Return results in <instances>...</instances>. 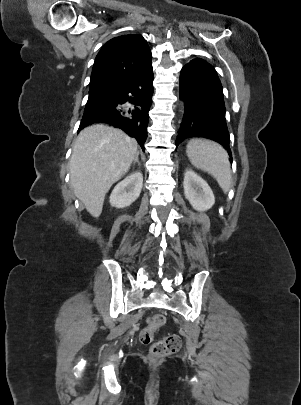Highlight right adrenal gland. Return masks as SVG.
Returning a JSON list of instances; mask_svg holds the SVG:
<instances>
[{"label":"right adrenal gland","mask_w":301,"mask_h":405,"mask_svg":"<svg viewBox=\"0 0 301 405\" xmlns=\"http://www.w3.org/2000/svg\"><path fill=\"white\" fill-rule=\"evenodd\" d=\"M138 156H139V152L137 151V152H136V155H135V158H134V162H133L134 165H135L136 163H137L138 165H140L139 160H138Z\"/></svg>","instance_id":"obj_1"}]
</instances>
